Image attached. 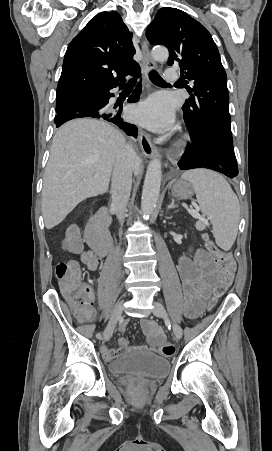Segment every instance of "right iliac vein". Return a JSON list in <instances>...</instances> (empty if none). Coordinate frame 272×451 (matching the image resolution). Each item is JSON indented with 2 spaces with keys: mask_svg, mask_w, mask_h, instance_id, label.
Segmentation results:
<instances>
[{
  "mask_svg": "<svg viewBox=\"0 0 272 451\" xmlns=\"http://www.w3.org/2000/svg\"><path fill=\"white\" fill-rule=\"evenodd\" d=\"M122 309H123V303L119 302L117 303L111 313L110 321L107 325V327L104 330V339L107 341L111 338L113 331L116 327V323L120 319L122 315Z\"/></svg>",
  "mask_w": 272,
  "mask_h": 451,
  "instance_id": "63e3f726",
  "label": "right iliac vein"
}]
</instances>
